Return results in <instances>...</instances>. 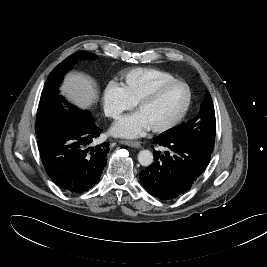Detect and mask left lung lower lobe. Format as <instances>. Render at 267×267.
<instances>
[{"label": "left lung lower lobe", "mask_w": 267, "mask_h": 267, "mask_svg": "<svg viewBox=\"0 0 267 267\" xmlns=\"http://www.w3.org/2000/svg\"><path fill=\"white\" fill-rule=\"evenodd\" d=\"M155 142L166 151H154L155 161L140 172V180L152 196L170 200L184 194L200 177L211 152L188 139L158 136Z\"/></svg>", "instance_id": "obj_1"}]
</instances>
